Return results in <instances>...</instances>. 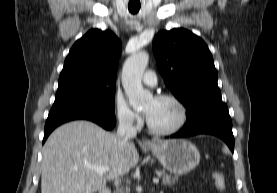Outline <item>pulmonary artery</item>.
<instances>
[{"instance_id":"obj_1","label":"pulmonary artery","mask_w":277,"mask_h":193,"mask_svg":"<svg viewBox=\"0 0 277 193\" xmlns=\"http://www.w3.org/2000/svg\"><path fill=\"white\" fill-rule=\"evenodd\" d=\"M143 82L148 85V86H156L157 84V76L156 74L151 71V70H147L142 77Z\"/></svg>"}]
</instances>
